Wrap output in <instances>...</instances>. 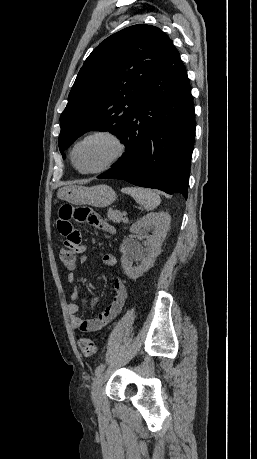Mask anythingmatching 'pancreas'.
<instances>
[{
  "instance_id": "1",
  "label": "pancreas",
  "mask_w": 257,
  "mask_h": 459,
  "mask_svg": "<svg viewBox=\"0 0 257 459\" xmlns=\"http://www.w3.org/2000/svg\"><path fill=\"white\" fill-rule=\"evenodd\" d=\"M108 219L114 223H120L123 220V215L117 210H109L107 213Z\"/></svg>"
}]
</instances>
